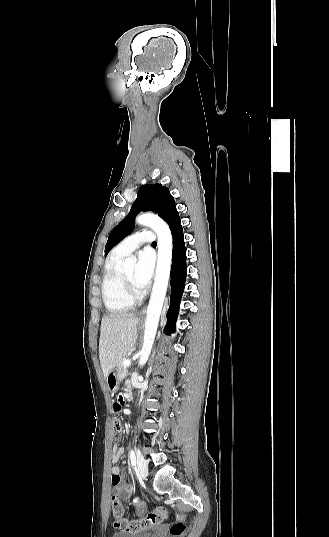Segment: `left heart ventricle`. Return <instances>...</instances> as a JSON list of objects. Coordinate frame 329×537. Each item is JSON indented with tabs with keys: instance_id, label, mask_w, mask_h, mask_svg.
Listing matches in <instances>:
<instances>
[{
	"instance_id": "b2bd125f",
	"label": "left heart ventricle",
	"mask_w": 329,
	"mask_h": 537,
	"mask_svg": "<svg viewBox=\"0 0 329 537\" xmlns=\"http://www.w3.org/2000/svg\"><path fill=\"white\" fill-rule=\"evenodd\" d=\"M135 272H136V269L132 267L131 269L125 271L124 275L127 278V280L130 282V284L133 286V288L137 291V288L135 287V284H134Z\"/></svg>"
}]
</instances>
